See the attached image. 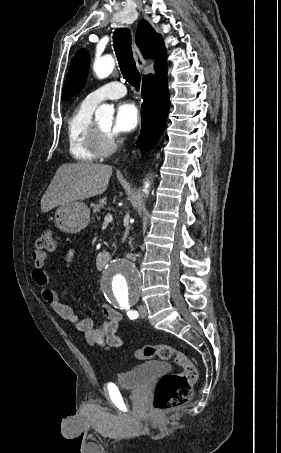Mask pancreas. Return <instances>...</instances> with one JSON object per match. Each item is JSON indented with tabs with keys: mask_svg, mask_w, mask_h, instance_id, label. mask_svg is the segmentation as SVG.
Instances as JSON below:
<instances>
[{
	"mask_svg": "<svg viewBox=\"0 0 281 453\" xmlns=\"http://www.w3.org/2000/svg\"><path fill=\"white\" fill-rule=\"evenodd\" d=\"M104 204H107L106 198H100L97 204H91L93 208V214H96V212H101V208H104Z\"/></svg>",
	"mask_w": 281,
	"mask_h": 453,
	"instance_id": "obj_1",
	"label": "pancreas"
}]
</instances>
